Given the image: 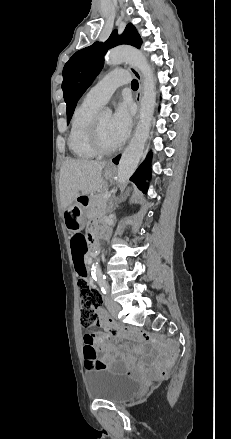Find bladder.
<instances>
[{
	"label": "bladder",
	"instance_id": "31cf9c89",
	"mask_svg": "<svg viewBox=\"0 0 231 439\" xmlns=\"http://www.w3.org/2000/svg\"><path fill=\"white\" fill-rule=\"evenodd\" d=\"M84 379L90 398L114 403H121L136 395L141 387L138 379L110 368H88Z\"/></svg>",
	"mask_w": 231,
	"mask_h": 439
}]
</instances>
